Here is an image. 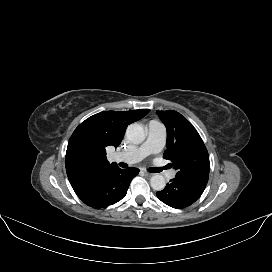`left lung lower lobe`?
<instances>
[{
  "label": "left lung lower lobe",
  "mask_w": 272,
  "mask_h": 272,
  "mask_svg": "<svg viewBox=\"0 0 272 272\" xmlns=\"http://www.w3.org/2000/svg\"><path fill=\"white\" fill-rule=\"evenodd\" d=\"M208 176L175 177L157 197L165 204L181 209L193 204L203 193Z\"/></svg>",
  "instance_id": "obj_1"
}]
</instances>
